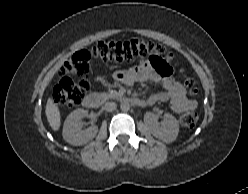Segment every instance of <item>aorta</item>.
I'll return each instance as SVG.
<instances>
[{
    "instance_id": "762f6f07",
    "label": "aorta",
    "mask_w": 248,
    "mask_h": 194,
    "mask_svg": "<svg viewBox=\"0 0 248 194\" xmlns=\"http://www.w3.org/2000/svg\"><path fill=\"white\" fill-rule=\"evenodd\" d=\"M120 108L123 112H127L130 110V104L127 101L121 103Z\"/></svg>"
}]
</instances>
